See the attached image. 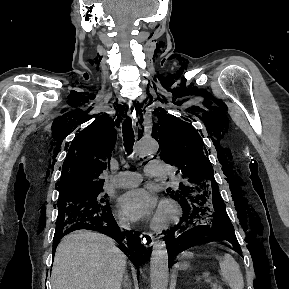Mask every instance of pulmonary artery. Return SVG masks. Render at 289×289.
<instances>
[{"label": "pulmonary artery", "instance_id": "1", "mask_svg": "<svg viewBox=\"0 0 289 289\" xmlns=\"http://www.w3.org/2000/svg\"><path fill=\"white\" fill-rule=\"evenodd\" d=\"M146 175L150 177H162L167 174V166L162 161H149L145 167ZM142 180L140 173L135 171H122L111 177V184L117 188H130L137 186Z\"/></svg>", "mask_w": 289, "mask_h": 289}]
</instances>
